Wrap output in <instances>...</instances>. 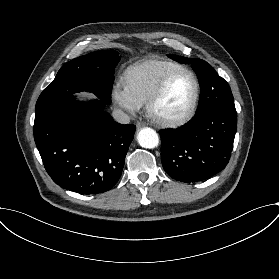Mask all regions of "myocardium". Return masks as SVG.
Wrapping results in <instances>:
<instances>
[{"instance_id":"f54148a6","label":"myocardium","mask_w":279,"mask_h":279,"mask_svg":"<svg viewBox=\"0 0 279 279\" xmlns=\"http://www.w3.org/2000/svg\"><path fill=\"white\" fill-rule=\"evenodd\" d=\"M187 73L189 74L194 81V93L191 102L187 106V108L181 113L179 116L175 118H164L160 116L157 111L156 107L159 101L162 99L163 95L165 94L166 90L168 89L170 83L179 75ZM200 97V83L196 74L188 69L183 68L176 70L174 72L169 73L166 75L157 88L151 94L148 104H147V113L149 118L156 123L157 125L164 127V128H177L184 124H186L196 112L198 102Z\"/></svg>"}]
</instances>
